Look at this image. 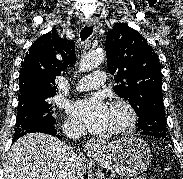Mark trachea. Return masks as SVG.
Here are the masks:
<instances>
[{
    "instance_id": "1",
    "label": "trachea",
    "mask_w": 183,
    "mask_h": 179,
    "mask_svg": "<svg viewBox=\"0 0 183 179\" xmlns=\"http://www.w3.org/2000/svg\"><path fill=\"white\" fill-rule=\"evenodd\" d=\"M93 32V26L91 27H85L81 33H80V38L82 41L86 40Z\"/></svg>"
}]
</instances>
